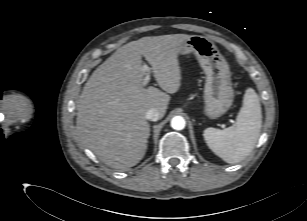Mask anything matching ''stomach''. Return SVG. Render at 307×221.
<instances>
[{"label":"stomach","instance_id":"obj_1","mask_svg":"<svg viewBox=\"0 0 307 221\" xmlns=\"http://www.w3.org/2000/svg\"><path fill=\"white\" fill-rule=\"evenodd\" d=\"M194 53L206 75L204 113L216 119L226 113L234 100L229 65L215 44L204 36L192 35L182 45L180 54Z\"/></svg>","mask_w":307,"mask_h":221}]
</instances>
